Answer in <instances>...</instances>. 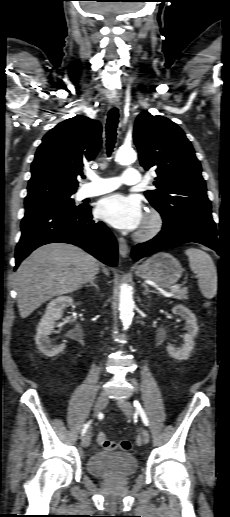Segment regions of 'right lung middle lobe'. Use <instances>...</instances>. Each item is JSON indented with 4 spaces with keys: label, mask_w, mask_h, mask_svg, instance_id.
Wrapping results in <instances>:
<instances>
[{
    "label": "right lung middle lobe",
    "mask_w": 230,
    "mask_h": 517,
    "mask_svg": "<svg viewBox=\"0 0 230 517\" xmlns=\"http://www.w3.org/2000/svg\"><path fill=\"white\" fill-rule=\"evenodd\" d=\"M74 194V193H72ZM72 194L56 195L39 200L25 202V208L58 207L68 210H79L84 206H75Z\"/></svg>",
    "instance_id": "dd1d6c3e"
}]
</instances>
